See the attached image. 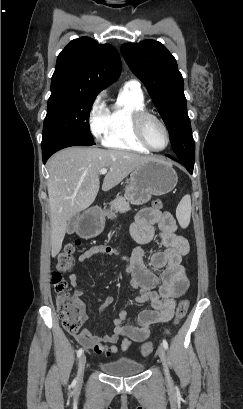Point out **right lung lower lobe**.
Listing matches in <instances>:
<instances>
[{"instance_id": "1", "label": "right lung lower lobe", "mask_w": 243, "mask_h": 409, "mask_svg": "<svg viewBox=\"0 0 243 409\" xmlns=\"http://www.w3.org/2000/svg\"><path fill=\"white\" fill-rule=\"evenodd\" d=\"M94 142H87L80 139H76L68 136H58L49 139L41 144L43 163L45 164L48 158L56 151L69 146H91Z\"/></svg>"}]
</instances>
